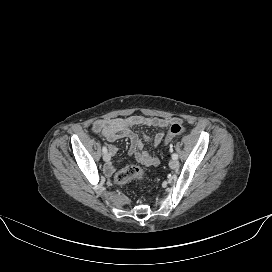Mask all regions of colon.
<instances>
[{"mask_svg":"<svg viewBox=\"0 0 272 272\" xmlns=\"http://www.w3.org/2000/svg\"><path fill=\"white\" fill-rule=\"evenodd\" d=\"M184 132V128L180 123H174L166 137H165V143H169L173 138L181 135ZM144 176V171L142 168L136 166V165H129L115 175V182L118 185H124L132 180H142Z\"/></svg>","mask_w":272,"mask_h":272,"instance_id":"colon-1","label":"colon"}]
</instances>
